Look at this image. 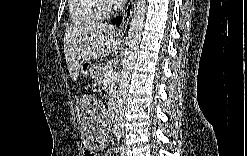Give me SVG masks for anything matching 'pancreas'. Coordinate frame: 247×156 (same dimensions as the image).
<instances>
[{
    "instance_id": "cf45deb5",
    "label": "pancreas",
    "mask_w": 247,
    "mask_h": 156,
    "mask_svg": "<svg viewBox=\"0 0 247 156\" xmlns=\"http://www.w3.org/2000/svg\"><path fill=\"white\" fill-rule=\"evenodd\" d=\"M107 69H111V65L105 64V65H98L97 66L95 82L99 86H102L104 84V82H105V71ZM107 81H108V96L111 98L113 92L116 89L114 76H111ZM110 100L111 99H109V102H110Z\"/></svg>"
}]
</instances>
